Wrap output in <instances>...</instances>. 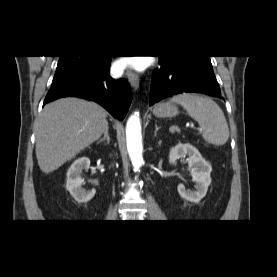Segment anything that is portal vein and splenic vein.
<instances>
[{
  "label": "portal vein and splenic vein",
  "instance_id": "1",
  "mask_svg": "<svg viewBox=\"0 0 277 277\" xmlns=\"http://www.w3.org/2000/svg\"><path fill=\"white\" fill-rule=\"evenodd\" d=\"M192 126V125H191ZM176 130H178V128L177 127H175V126H172L171 128H170V131L173 133V132H175Z\"/></svg>",
  "mask_w": 277,
  "mask_h": 277
}]
</instances>
